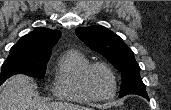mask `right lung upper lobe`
Here are the masks:
<instances>
[{
  "instance_id": "1",
  "label": "right lung upper lobe",
  "mask_w": 171,
  "mask_h": 110,
  "mask_svg": "<svg viewBox=\"0 0 171 110\" xmlns=\"http://www.w3.org/2000/svg\"><path fill=\"white\" fill-rule=\"evenodd\" d=\"M61 37V32L47 28H38L23 36L11 50L25 55H51V48Z\"/></svg>"
}]
</instances>
